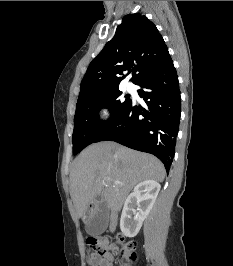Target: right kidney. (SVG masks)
I'll return each instance as SVG.
<instances>
[{
    "instance_id": "1",
    "label": "right kidney",
    "mask_w": 233,
    "mask_h": 266,
    "mask_svg": "<svg viewBox=\"0 0 233 266\" xmlns=\"http://www.w3.org/2000/svg\"><path fill=\"white\" fill-rule=\"evenodd\" d=\"M160 184L154 180H145L134 187L126 199L120 219V229L127 237H135L140 231L143 221L152 209Z\"/></svg>"
}]
</instances>
